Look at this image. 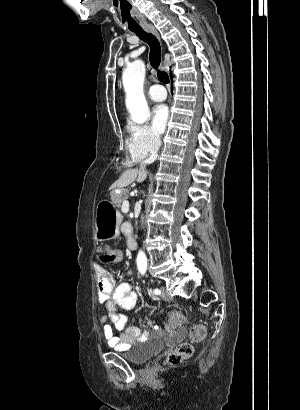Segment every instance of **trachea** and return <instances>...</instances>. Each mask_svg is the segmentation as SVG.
<instances>
[{
    "label": "trachea",
    "instance_id": "1",
    "mask_svg": "<svg viewBox=\"0 0 300 410\" xmlns=\"http://www.w3.org/2000/svg\"><path fill=\"white\" fill-rule=\"evenodd\" d=\"M132 32H134L141 40L146 42L149 47H150V55H149V61L151 66L157 70V77L158 79L165 83H169V76L165 71L159 70V65L161 62V47L158 39L156 38L155 35L152 33H147L144 31L142 28L139 29H132Z\"/></svg>",
    "mask_w": 300,
    "mask_h": 410
}]
</instances>
